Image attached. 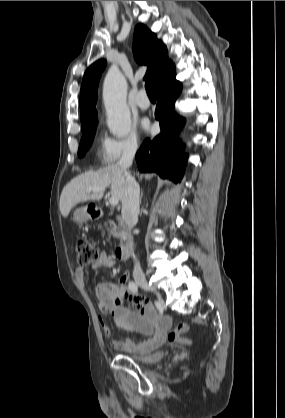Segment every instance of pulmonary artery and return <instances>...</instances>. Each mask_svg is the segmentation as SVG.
<instances>
[{"label": "pulmonary artery", "instance_id": "1", "mask_svg": "<svg viewBox=\"0 0 285 418\" xmlns=\"http://www.w3.org/2000/svg\"><path fill=\"white\" fill-rule=\"evenodd\" d=\"M134 103L141 109H147L150 107V100L147 98L144 90H141L134 99Z\"/></svg>", "mask_w": 285, "mask_h": 418}]
</instances>
